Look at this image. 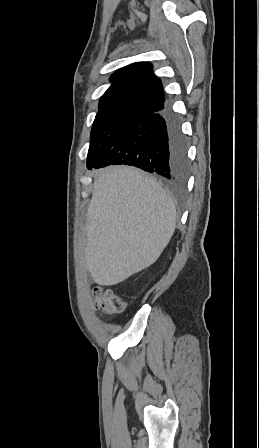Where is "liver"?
Masks as SVG:
<instances>
[{"label":"liver","instance_id":"liver-1","mask_svg":"<svg viewBox=\"0 0 259 448\" xmlns=\"http://www.w3.org/2000/svg\"><path fill=\"white\" fill-rule=\"evenodd\" d=\"M87 210L86 266L95 284L115 286L158 260L176 226L162 186L131 166H109L94 180Z\"/></svg>","mask_w":259,"mask_h":448}]
</instances>
